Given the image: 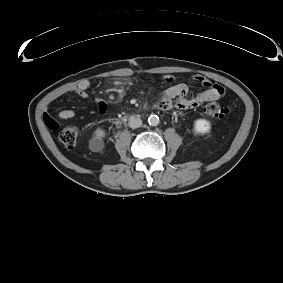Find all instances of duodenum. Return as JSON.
<instances>
[{
  "instance_id": "duodenum-1",
  "label": "duodenum",
  "mask_w": 283,
  "mask_h": 283,
  "mask_svg": "<svg viewBox=\"0 0 283 283\" xmlns=\"http://www.w3.org/2000/svg\"><path fill=\"white\" fill-rule=\"evenodd\" d=\"M159 108H162L161 105H158Z\"/></svg>"
}]
</instances>
